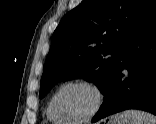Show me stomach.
Returning a JSON list of instances; mask_svg holds the SVG:
<instances>
[{
  "label": "stomach",
  "instance_id": "1",
  "mask_svg": "<svg viewBox=\"0 0 156 124\" xmlns=\"http://www.w3.org/2000/svg\"><path fill=\"white\" fill-rule=\"evenodd\" d=\"M107 124H130L122 115H116L114 119L108 121Z\"/></svg>",
  "mask_w": 156,
  "mask_h": 124
}]
</instances>
